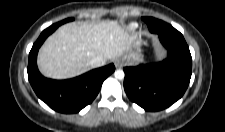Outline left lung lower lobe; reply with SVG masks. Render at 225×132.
Instances as JSON below:
<instances>
[{"instance_id":"1","label":"left lung lower lobe","mask_w":225,"mask_h":132,"mask_svg":"<svg viewBox=\"0 0 225 132\" xmlns=\"http://www.w3.org/2000/svg\"><path fill=\"white\" fill-rule=\"evenodd\" d=\"M152 33L168 50V58L159 63L125 67L124 89L127 96L146 111L171 106L185 93L192 73V57L183 35L166 23L144 17Z\"/></svg>"}]
</instances>
